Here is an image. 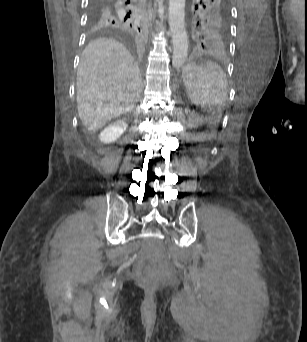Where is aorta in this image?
Wrapping results in <instances>:
<instances>
[{"label": "aorta", "mask_w": 307, "mask_h": 342, "mask_svg": "<svg viewBox=\"0 0 307 342\" xmlns=\"http://www.w3.org/2000/svg\"><path fill=\"white\" fill-rule=\"evenodd\" d=\"M186 0H169V26L172 36L174 68H180L187 60L188 40L185 28Z\"/></svg>", "instance_id": "obj_1"}]
</instances>
